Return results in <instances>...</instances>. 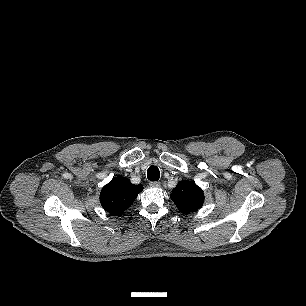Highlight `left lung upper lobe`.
Wrapping results in <instances>:
<instances>
[{"label":"left lung upper lobe","mask_w":306,"mask_h":306,"mask_svg":"<svg viewBox=\"0 0 306 306\" xmlns=\"http://www.w3.org/2000/svg\"><path fill=\"white\" fill-rule=\"evenodd\" d=\"M170 198L182 213L195 211L204 202L202 189L191 181L178 183L170 194Z\"/></svg>","instance_id":"obj_1"}]
</instances>
